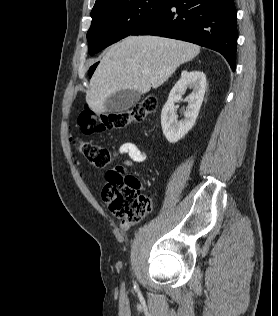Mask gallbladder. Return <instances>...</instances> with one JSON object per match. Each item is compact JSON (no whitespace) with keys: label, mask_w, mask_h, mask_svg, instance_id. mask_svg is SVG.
Here are the masks:
<instances>
[{"label":"gallbladder","mask_w":278,"mask_h":316,"mask_svg":"<svg viewBox=\"0 0 278 316\" xmlns=\"http://www.w3.org/2000/svg\"><path fill=\"white\" fill-rule=\"evenodd\" d=\"M141 94L136 90H120L111 94L105 101L108 113H123L140 100Z\"/></svg>","instance_id":"obj_1"}]
</instances>
